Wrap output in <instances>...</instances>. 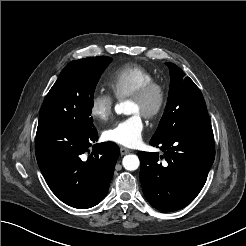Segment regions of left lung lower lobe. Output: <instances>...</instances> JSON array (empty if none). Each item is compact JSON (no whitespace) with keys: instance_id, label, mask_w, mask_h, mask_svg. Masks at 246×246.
I'll list each match as a JSON object with an SVG mask.
<instances>
[{"instance_id":"left-lung-lower-lobe-1","label":"left lung lower lobe","mask_w":246,"mask_h":246,"mask_svg":"<svg viewBox=\"0 0 246 246\" xmlns=\"http://www.w3.org/2000/svg\"><path fill=\"white\" fill-rule=\"evenodd\" d=\"M150 144L160 147L164 155L138 153L140 181L146 199L163 212L187 206L203 188L214 161L211 124L177 129L161 140H151Z\"/></svg>"}]
</instances>
